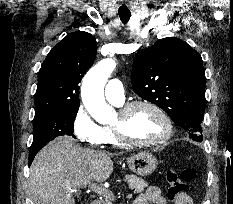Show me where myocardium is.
I'll use <instances>...</instances> for the list:
<instances>
[{
	"mask_svg": "<svg viewBox=\"0 0 233 204\" xmlns=\"http://www.w3.org/2000/svg\"><path fill=\"white\" fill-rule=\"evenodd\" d=\"M137 107H147L153 110L164 122L165 133L156 140L136 141L129 138L124 132V123L129 114ZM119 122L112 125V130L120 144L125 146L151 147L168 141L173 135V123L169 115L156 103L149 100H133L122 105L118 111Z\"/></svg>",
	"mask_w": 233,
	"mask_h": 204,
	"instance_id": "f54148a6",
	"label": "myocardium"
}]
</instances>
